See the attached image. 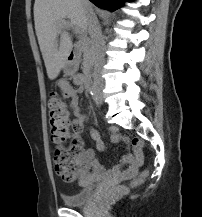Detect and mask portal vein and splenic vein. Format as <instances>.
<instances>
[{
	"label": "portal vein and splenic vein",
	"instance_id": "18ae733b",
	"mask_svg": "<svg viewBox=\"0 0 202 217\" xmlns=\"http://www.w3.org/2000/svg\"><path fill=\"white\" fill-rule=\"evenodd\" d=\"M62 27H63V28H70V27H72V28H74V30H75V32H76L77 34H81V33H82L79 28L74 27L73 24H71V23H69V22H66V21H63V22H62Z\"/></svg>",
	"mask_w": 202,
	"mask_h": 217
}]
</instances>
